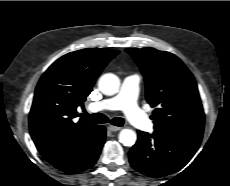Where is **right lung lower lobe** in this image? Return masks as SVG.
Returning a JSON list of instances; mask_svg holds the SVG:
<instances>
[{
  "instance_id": "right-lung-lower-lobe-1",
  "label": "right lung lower lobe",
  "mask_w": 230,
  "mask_h": 186,
  "mask_svg": "<svg viewBox=\"0 0 230 186\" xmlns=\"http://www.w3.org/2000/svg\"><path fill=\"white\" fill-rule=\"evenodd\" d=\"M106 137L104 126H96L83 140L78 142L65 156L51 164L66 173H74L92 167L101 152Z\"/></svg>"
}]
</instances>
